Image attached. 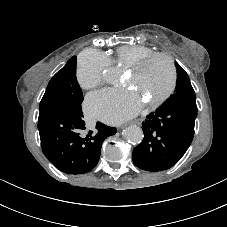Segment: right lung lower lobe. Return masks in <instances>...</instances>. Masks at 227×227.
I'll list each match as a JSON object with an SVG mask.
<instances>
[{
    "label": "right lung lower lobe",
    "mask_w": 227,
    "mask_h": 227,
    "mask_svg": "<svg viewBox=\"0 0 227 227\" xmlns=\"http://www.w3.org/2000/svg\"><path fill=\"white\" fill-rule=\"evenodd\" d=\"M82 111L62 110L38 121L41 148L47 159L66 174H83L98 163L102 142L116 128L97 122L86 132Z\"/></svg>",
    "instance_id": "98d812e1"
}]
</instances>
